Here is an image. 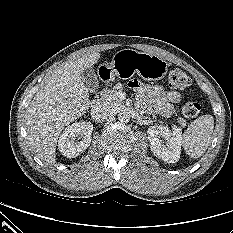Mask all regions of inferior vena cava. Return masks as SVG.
<instances>
[{
	"instance_id": "1",
	"label": "inferior vena cava",
	"mask_w": 233,
	"mask_h": 233,
	"mask_svg": "<svg viewBox=\"0 0 233 233\" xmlns=\"http://www.w3.org/2000/svg\"><path fill=\"white\" fill-rule=\"evenodd\" d=\"M113 109L105 102L95 105L91 110V116L95 120H105L112 116Z\"/></svg>"
}]
</instances>
